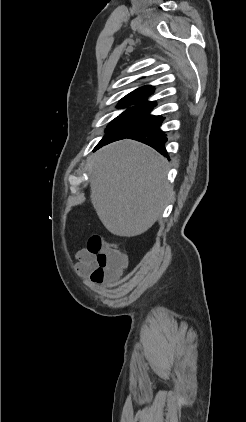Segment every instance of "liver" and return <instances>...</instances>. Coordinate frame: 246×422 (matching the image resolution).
<instances>
[{
  "label": "liver",
  "mask_w": 246,
  "mask_h": 422,
  "mask_svg": "<svg viewBox=\"0 0 246 422\" xmlns=\"http://www.w3.org/2000/svg\"><path fill=\"white\" fill-rule=\"evenodd\" d=\"M90 170L92 205L105 228L117 236L146 232L172 194L167 160L137 141L125 139L99 149Z\"/></svg>",
  "instance_id": "obj_1"
}]
</instances>
